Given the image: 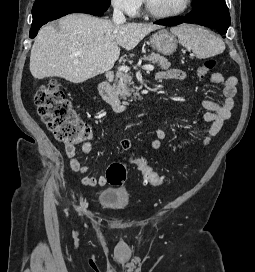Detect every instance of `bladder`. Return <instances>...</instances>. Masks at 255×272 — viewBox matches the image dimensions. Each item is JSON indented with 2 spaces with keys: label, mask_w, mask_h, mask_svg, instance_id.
Segmentation results:
<instances>
[{
  "label": "bladder",
  "mask_w": 255,
  "mask_h": 272,
  "mask_svg": "<svg viewBox=\"0 0 255 272\" xmlns=\"http://www.w3.org/2000/svg\"><path fill=\"white\" fill-rule=\"evenodd\" d=\"M131 195L127 188H105L98 195V203L106 208L120 210L130 203Z\"/></svg>",
  "instance_id": "bladder-1"
}]
</instances>
